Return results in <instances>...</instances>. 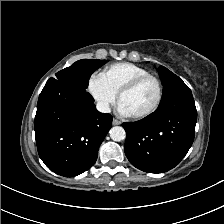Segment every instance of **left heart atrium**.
Returning a JSON list of instances; mask_svg holds the SVG:
<instances>
[{
    "instance_id": "obj_1",
    "label": "left heart atrium",
    "mask_w": 224,
    "mask_h": 224,
    "mask_svg": "<svg viewBox=\"0 0 224 224\" xmlns=\"http://www.w3.org/2000/svg\"><path fill=\"white\" fill-rule=\"evenodd\" d=\"M118 112L121 114V115H124V116H130V113L129 111L124 107V105L122 103L119 102L118 104Z\"/></svg>"
}]
</instances>
